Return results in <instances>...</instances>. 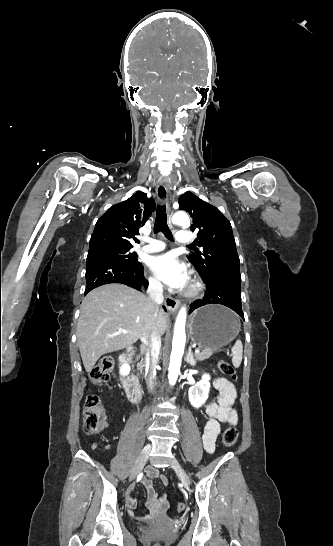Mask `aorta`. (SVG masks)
Returning <instances> with one entry per match:
<instances>
[{
  "label": "aorta",
  "mask_w": 333,
  "mask_h": 546,
  "mask_svg": "<svg viewBox=\"0 0 333 546\" xmlns=\"http://www.w3.org/2000/svg\"><path fill=\"white\" fill-rule=\"evenodd\" d=\"M172 223L182 227H189L190 219L187 213L177 212L172 217ZM186 308L182 307L177 315L170 364L168 368V380L170 385H175L180 374L181 360L184 354L186 342L185 323H186Z\"/></svg>",
  "instance_id": "1"
}]
</instances>
